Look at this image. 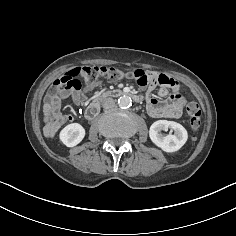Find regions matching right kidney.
<instances>
[{
    "label": "right kidney",
    "instance_id": "obj_1",
    "mask_svg": "<svg viewBox=\"0 0 236 236\" xmlns=\"http://www.w3.org/2000/svg\"><path fill=\"white\" fill-rule=\"evenodd\" d=\"M85 136V129L79 123H72L65 126L59 135L60 141L67 147H74L79 144Z\"/></svg>",
    "mask_w": 236,
    "mask_h": 236
}]
</instances>
